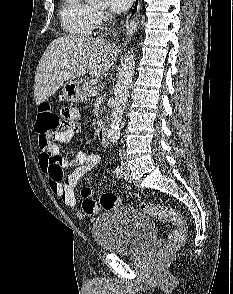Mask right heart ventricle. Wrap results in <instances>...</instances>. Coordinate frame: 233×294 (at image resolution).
<instances>
[{"instance_id":"obj_1","label":"right heart ventricle","mask_w":233,"mask_h":294,"mask_svg":"<svg viewBox=\"0 0 233 294\" xmlns=\"http://www.w3.org/2000/svg\"><path fill=\"white\" fill-rule=\"evenodd\" d=\"M62 29L74 37L92 34L96 25V11L83 0H62L59 8Z\"/></svg>"}]
</instances>
